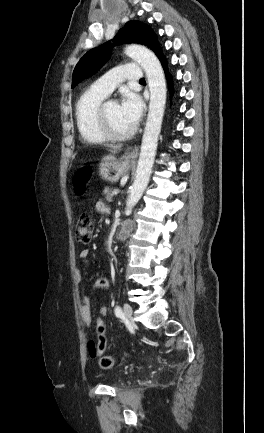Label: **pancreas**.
Returning <instances> with one entry per match:
<instances>
[{
  "label": "pancreas",
  "mask_w": 264,
  "mask_h": 433,
  "mask_svg": "<svg viewBox=\"0 0 264 433\" xmlns=\"http://www.w3.org/2000/svg\"><path fill=\"white\" fill-rule=\"evenodd\" d=\"M103 193L105 195L106 201H108V202L113 201L114 195H113V189L112 188L106 187L104 189Z\"/></svg>",
  "instance_id": "obj_1"
}]
</instances>
